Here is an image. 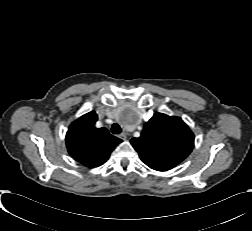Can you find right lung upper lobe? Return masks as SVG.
Segmentation results:
<instances>
[{"instance_id": "right-lung-upper-lobe-1", "label": "right lung upper lobe", "mask_w": 252, "mask_h": 231, "mask_svg": "<svg viewBox=\"0 0 252 231\" xmlns=\"http://www.w3.org/2000/svg\"><path fill=\"white\" fill-rule=\"evenodd\" d=\"M97 119L95 111L81 116L69 126L65 139L69 154L89 168L103 164L122 142L106 128H96Z\"/></svg>"}]
</instances>
